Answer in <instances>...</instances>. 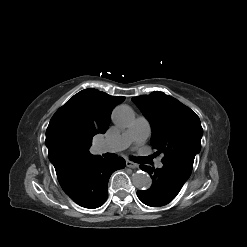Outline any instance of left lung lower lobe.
Instances as JSON below:
<instances>
[{
	"label": "left lung lower lobe",
	"mask_w": 247,
	"mask_h": 247,
	"mask_svg": "<svg viewBox=\"0 0 247 247\" xmlns=\"http://www.w3.org/2000/svg\"><path fill=\"white\" fill-rule=\"evenodd\" d=\"M140 168L149 173L153 184L148 190L137 191V196L141 202L151 207H159L171 202L188 179L165 165L156 170L146 165H141Z\"/></svg>",
	"instance_id": "0a47b994"
}]
</instances>
